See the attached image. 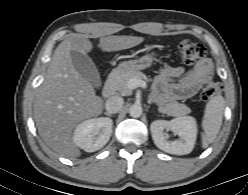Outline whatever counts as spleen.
<instances>
[{
    "mask_svg": "<svg viewBox=\"0 0 248 195\" xmlns=\"http://www.w3.org/2000/svg\"><path fill=\"white\" fill-rule=\"evenodd\" d=\"M225 100L221 95L214 96L206 104L205 113L202 119V147L207 148L212 143L222 125Z\"/></svg>",
    "mask_w": 248,
    "mask_h": 195,
    "instance_id": "1",
    "label": "spleen"
}]
</instances>
